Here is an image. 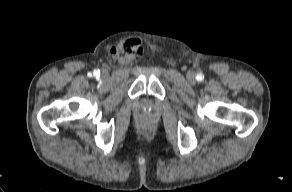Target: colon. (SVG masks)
<instances>
[{"label":"colon","instance_id":"colon-1","mask_svg":"<svg viewBox=\"0 0 292 192\" xmlns=\"http://www.w3.org/2000/svg\"><path fill=\"white\" fill-rule=\"evenodd\" d=\"M122 49L123 53H140L141 46L139 42L129 40L123 45Z\"/></svg>","mask_w":292,"mask_h":192}]
</instances>
